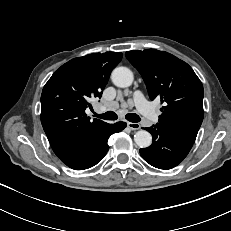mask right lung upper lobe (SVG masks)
Instances as JSON below:
<instances>
[{
    "label": "right lung upper lobe",
    "instance_id": "cb5924a9",
    "mask_svg": "<svg viewBox=\"0 0 231 231\" xmlns=\"http://www.w3.org/2000/svg\"><path fill=\"white\" fill-rule=\"evenodd\" d=\"M122 56L120 52H106L74 58L62 65L44 86L41 123L54 153L66 165L110 125L98 119L90 121L85 109L91 107L90 98L101 97Z\"/></svg>",
    "mask_w": 231,
    "mask_h": 231
}]
</instances>
